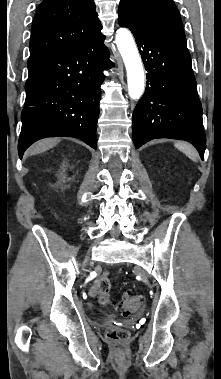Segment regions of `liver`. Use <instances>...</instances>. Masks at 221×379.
<instances>
[{"label":"liver","mask_w":221,"mask_h":379,"mask_svg":"<svg viewBox=\"0 0 221 379\" xmlns=\"http://www.w3.org/2000/svg\"><path fill=\"white\" fill-rule=\"evenodd\" d=\"M59 142H60L59 138H46V139L40 140L32 146V148L29 150L28 153L30 155L43 153L53 148L54 146H56Z\"/></svg>","instance_id":"obj_1"}]
</instances>
